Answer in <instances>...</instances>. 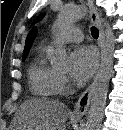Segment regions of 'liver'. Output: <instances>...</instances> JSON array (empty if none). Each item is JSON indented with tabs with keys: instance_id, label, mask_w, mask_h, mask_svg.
I'll use <instances>...</instances> for the list:
<instances>
[{
	"instance_id": "obj_1",
	"label": "liver",
	"mask_w": 123,
	"mask_h": 130,
	"mask_svg": "<svg viewBox=\"0 0 123 130\" xmlns=\"http://www.w3.org/2000/svg\"><path fill=\"white\" fill-rule=\"evenodd\" d=\"M70 115L65 104L47 98H30L16 112L11 130H61Z\"/></svg>"
}]
</instances>
